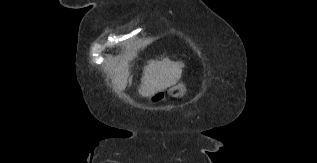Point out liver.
<instances>
[{
	"instance_id": "obj_1",
	"label": "liver",
	"mask_w": 317,
	"mask_h": 163,
	"mask_svg": "<svg viewBox=\"0 0 317 163\" xmlns=\"http://www.w3.org/2000/svg\"><path fill=\"white\" fill-rule=\"evenodd\" d=\"M184 64L181 61H171L168 57L150 60L143 69L139 94L151 97L158 92L176 85L182 75ZM128 80V67L121 64L112 76V85L115 90H124Z\"/></svg>"
}]
</instances>
